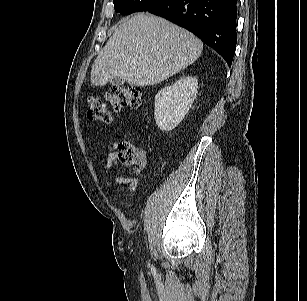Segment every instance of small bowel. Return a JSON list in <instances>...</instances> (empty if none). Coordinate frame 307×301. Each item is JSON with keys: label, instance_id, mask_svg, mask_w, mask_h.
<instances>
[{"label": "small bowel", "instance_id": "obj_1", "mask_svg": "<svg viewBox=\"0 0 307 301\" xmlns=\"http://www.w3.org/2000/svg\"><path fill=\"white\" fill-rule=\"evenodd\" d=\"M117 140H118V134L115 135L114 139L109 143L108 145V150L110 151L109 157L106 162V167L107 168H117L124 172L120 166L118 165V160H117V154L115 152V148L117 145ZM148 165V159L145 154V152H141V160H140V168L141 171H145L146 167ZM113 181L116 185L118 186H125L128 191V195L132 196V194L135 192L137 185H138V179L137 178H131V177H126V176H114Z\"/></svg>", "mask_w": 307, "mask_h": 301}]
</instances>
